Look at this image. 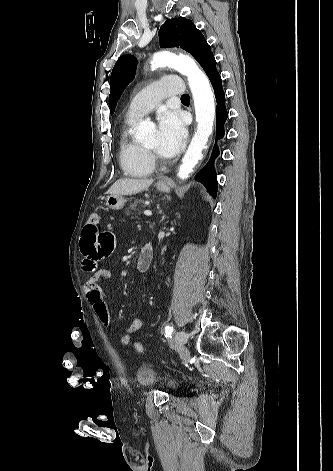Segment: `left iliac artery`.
Listing matches in <instances>:
<instances>
[{
	"label": "left iliac artery",
	"instance_id": "obj_1",
	"mask_svg": "<svg viewBox=\"0 0 333 471\" xmlns=\"http://www.w3.org/2000/svg\"><path fill=\"white\" fill-rule=\"evenodd\" d=\"M173 332V326H166L165 327V335L166 337H171V334Z\"/></svg>",
	"mask_w": 333,
	"mask_h": 471
}]
</instances>
